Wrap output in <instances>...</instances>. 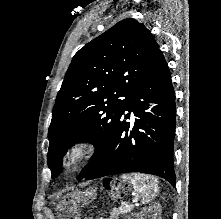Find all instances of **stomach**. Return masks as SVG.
Listing matches in <instances>:
<instances>
[{
  "mask_svg": "<svg viewBox=\"0 0 221 219\" xmlns=\"http://www.w3.org/2000/svg\"><path fill=\"white\" fill-rule=\"evenodd\" d=\"M97 183H119V178H97ZM121 184L115 186H104V191H109V194H97V199H118L120 195H126V190H118ZM72 198L75 196L72 195Z\"/></svg>",
  "mask_w": 221,
  "mask_h": 219,
  "instance_id": "1",
  "label": "stomach"
}]
</instances>
